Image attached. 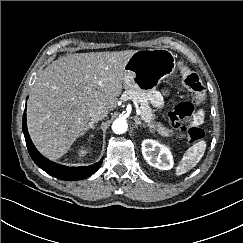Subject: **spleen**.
I'll return each instance as SVG.
<instances>
[{
    "instance_id": "3e777b00",
    "label": "spleen",
    "mask_w": 243,
    "mask_h": 243,
    "mask_svg": "<svg viewBox=\"0 0 243 243\" xmlns=\"http://www.w3.org/2000/svg\"><path fill=\"white\" fill-rule=\"evenodd\" d=\"M206 149L204 140L195 143L184 153L179 165L176 168V175H182L196 166L201 160Z\"/></svg>"
}]
</instances>
